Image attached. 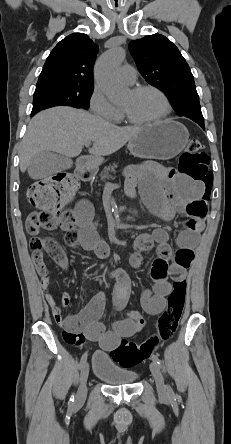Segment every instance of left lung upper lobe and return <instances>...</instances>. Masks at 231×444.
I'll return each instance as SVG.
<instances>
[{"label": "left lung upper lobe", "instance_id": "obj_1", "mask_svg": "<svg viewBox=\"0 0 231 444\" xmlns=\"http://www.w3.org/2000/svg\"><path fill=\"white\" fill-rule=\"evenodd\" d=\"M129 49L145 80L167 94L180 116L204 122L189 65L168 38L149 35L131 41Z\"/></svg>", "mask_w": 231, "mask_h": 444}]
</instances>
